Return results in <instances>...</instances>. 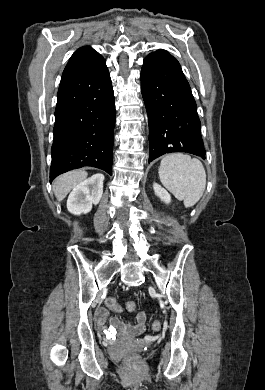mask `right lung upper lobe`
<instances>
[{"instance_id":"obj_1","label":"right lung upper lobe","mask_w":265,"mask_h":390,"mask_svg":"<svg viewBox=\"0 0 265 390\" xmlns=\"http://www.w3.org/2000/svg\"><path fill=\"white\" fill-rule=\"evenodd\" d=\"M104 61L103 57L89 46L79 48L69 59L61 81L75 77Z\"/></svg>"}]
</instances>
